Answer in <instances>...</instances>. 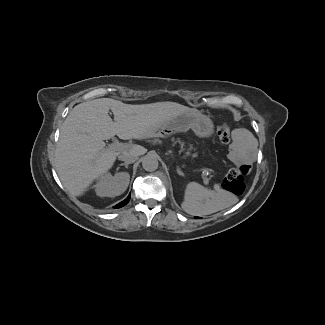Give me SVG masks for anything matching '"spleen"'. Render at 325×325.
<instances>
[{"instance_id": "1", "label": "spleen", "mask_w": 325, "mask_h": 325, "mask_svg": "<svg viewBox=\"0 0 325 325\" xmlns=\"http://www.w3.org/2000/svg\"><path fill=\"white\" fill-rule=\"evenodd\" d=\"M232 204L228 192H215L196 182H190L185 189L182 208L190 215L203 216L228 208Z\"/></svg>"}]
</instances>
